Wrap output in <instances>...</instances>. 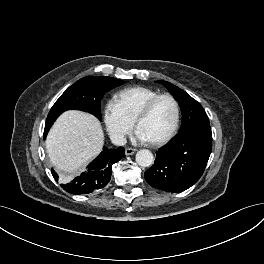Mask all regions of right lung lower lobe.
Returning a JSON list of instances; mask_svg holds the SVG:
<instances>
[{
    "label": "right lung lower lobe",
    "mask_w": 264,
    "mask_h": 264,
    "mask_svg": "<svg viewBox=\"0 0 264 264\" xmlns=\"http://www.w3.org/2000/svg\"><path fill=\"white\" fill-rule=\"evenodd\" d=\"M48 131H44V138ZM125 157L123 147L117 149L103 148L100 155L87 167V171L73 181L61 184L62 188L72 194H88L104 188L110 181L112 165ZM53 177L58 181L57 173L52 170Z\"/></svg>",
    "instance_id": "right-lung-lower-lobe-1"
}]
</instances>
